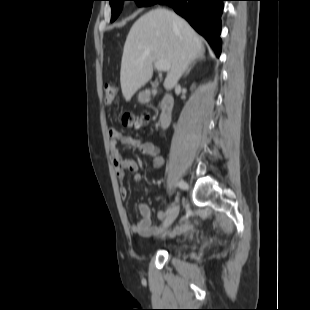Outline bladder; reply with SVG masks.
I'll list each match as a JSON object with an SVG mask.
<instances>
[{
  "instance_id": "obj_1",
  "label": "bladder",
  "mask_w": 310,
  "mask_h": 310,
  "mask_svg": "<svg viewBox=\"0 0 310 310\" xmlns=\"http://www.w3.org/2000/svg\"><path fill=\"white\" fill-rule=\"evenodd\" d=\"M185 244L184 243H177V244H175L174 246H173V249L175 250V251H181V250H183L184 248H185Z\"/></svg>"
}]
</instances>
